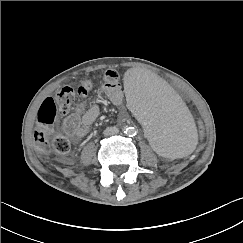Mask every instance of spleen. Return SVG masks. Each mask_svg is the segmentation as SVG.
I'll return each instance as SVG.
<instances>
[{
    "instance_id": "3e777b00",
    "label": "spleen",
    "mask_w": 243,
    "mask_h": 243,
    "mask_svg": "<svg viewBox=\"0 0 243 243\" xmlns=\"http://www.w3.org/2000/svg\"><path fill=\"white\" fill-rule=\"evenodd\" d=\"M124 95L149 144L169 159L184 157L195 142L194 127L177 93L155 72L140 70L126 80Z\"/></svg>"
}]
</instances>
